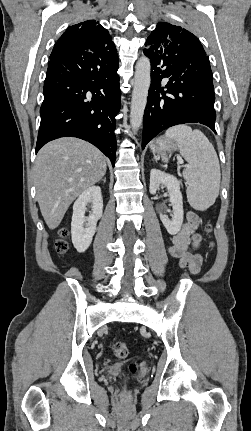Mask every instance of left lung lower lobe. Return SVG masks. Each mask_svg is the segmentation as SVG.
I'll return each mask as SVG.
<instances>
[{"instance_id":"1","label":"left lung lower lobe","mask_w":251,"mask_h":431,"mask_svg":"<svg viewBox=\"0 0 251 431\" xmlns=\"http://www.w3.org/2000/svg\"><path fill=\"white\" fill-rule=\"evenodd\" d=\"M144 54L151 63V86L144 114L142 149L161 131L200 123L215 133L213 76L206 53L188 44L148 37ZM168 82L163 83L162 79Z\"/></svg>"}]
</instances>
